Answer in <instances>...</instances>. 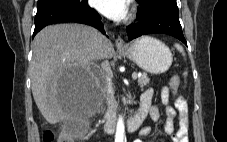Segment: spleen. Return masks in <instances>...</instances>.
Segmentation results:
<instances>
[{"mask_svg":"<svg viewBox=\"0 0 227 142\" xmlns=\"http://www.w3.org/2000/svg\"><path fill=\"white\" fill-rule=\"evenodd\" d=\"M175 47L177 48V50H178L179 52H181L183 55H185V54H184L183 47H182L181 45L175 44ZM183 75H184V77H186V76H187V71L184 72Z\"/></svg>","mask_w":227,"mask_h":142,"instance_id":"1","label":"spleen"}]
</instances>
